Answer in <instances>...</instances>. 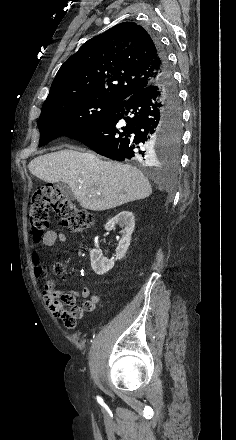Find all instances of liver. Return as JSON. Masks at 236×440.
<instances>
[{"mask_svg":"<svg viewBox=\"0 0 236 440\" xmlns=\"http://www.w3.org/2000/svg\"><path fill=\"white\" fill-rule=\"evenodd\" d=\"M30 172L48 183L68 184L80 205L104 211L147 198L152 193L148 179L137 168L103 161L91 152L64 149L34 158Z\"/></svg>","mask_w":236,"mask_h":440,"instance_id":"1","label":"liver"}]
</instances>
